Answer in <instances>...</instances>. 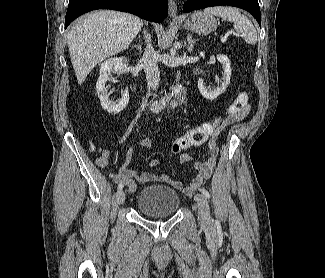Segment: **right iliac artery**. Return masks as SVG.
Masks as SVG:
<instances>
[{
  "instance_id": "obj_1",
  "label": "right iliac artery",
  "mask_w": 325,
  "mask_h": 278,
  "mask_svg": "<svg viewBox=\"0 0 325 278\" xmlns=\"http://www.w3.org/2000/svg\"><path fill=\"white\" fill-rule=\"evenodd\" d=\"M122 188H123V184H119V185H118V189L121 190Z\"/></svg>"
}]
</instances>
